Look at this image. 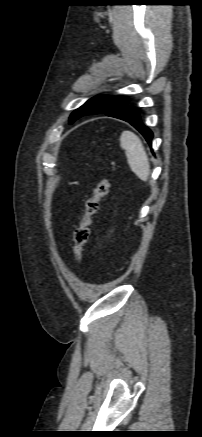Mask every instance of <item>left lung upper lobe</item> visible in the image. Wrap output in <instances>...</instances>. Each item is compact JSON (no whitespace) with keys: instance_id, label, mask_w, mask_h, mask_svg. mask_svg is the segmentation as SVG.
I'll list each match as a JSON object with an SVG mask.
<instances>
[{"instance_id":"1","label":"left lung upper lobe","mask_w":202,"mask_h":437,"mask_svg":"<svg viewBox=\"0 0 202 437\" xmlns=\"http://www.w3.org/2000/svg\"><path fill=\"white\" fill-rule=\"evenodd\" d=\"M126 104L125 101L111 95H97L85 102L79 109H76L69 118L73 123L84 115L108 113Z\"/></svg>"}]
</instances>
